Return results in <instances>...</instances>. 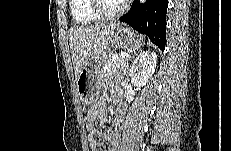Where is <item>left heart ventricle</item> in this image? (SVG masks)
I'll return each instance as SVG.
<instances>
[{
    "instance_id": "left-heart-ventricle-1",
    "label": "left heart ventricle",
    "mask_w": 231,
    "mask_h": 151,
    "mask_svg": "<svg viewBox=\"0 0 231 151\" xmlns=\"http://www.w3.org/2000/svg\"><path fill=\"white\" fill-rule=\"evenodd\" d=\"M122 2L118 0H104V7L108 12H115Z\"/></svg>"
}]
</instances>
